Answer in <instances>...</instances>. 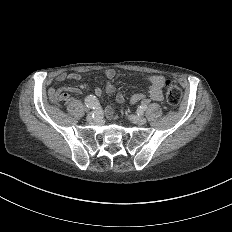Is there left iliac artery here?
I'll list each match as a JSON object with an SVG mask.
<instances>
[{
	"mask_svg": "<svg viewBox=\"0 0 232 232\" xmlns=\"http://www.w3.org/2000/svg\"><path fill=\"white\" fill-rule=\"evenodd\" d=\"M137 115L140 117H142L144 115V111H143V108L141 106L137 109Z\"/></svg>",
	"mask_w": 232,
	"mask_h": 232,
	"instance_id": "left-iliac-artery-1",
	"label": "left iliac artery"
}]
</instances>
